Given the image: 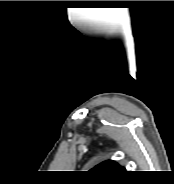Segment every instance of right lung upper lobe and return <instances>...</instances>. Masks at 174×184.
<instances>
[{
	"mask_svg": "<svg viewBox=\"0 0 174 184\" xmlns=\"http://www.w3.org/2000/svg\"><path fill=\"white\" fill-rule=\"evenodd\" d=\"M90 171L96 174L108 176V175H115V174L124 172L125 169L119 166L116 162L109 160V161H104L100 163Z\"/></svg>",
	"mask_w": 174,
	"mask_h": 184,
	"instance_id": "right-lung-upper-lobe-1",
	"label": "right lung upper lobe"
}]
</instances>
